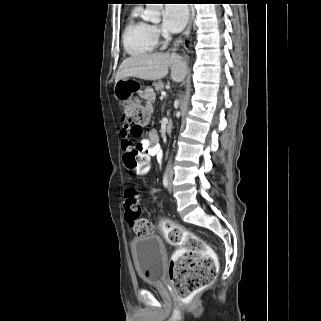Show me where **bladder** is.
Listing matches in <instances>:
<instances>
[{
	"label": "bladder",
	"mask_w": 321,
	"mask_h": 321,
	"mask_svg": "<svg viewBox=\"0 0 321 321\" xmlns=\"http://www.w3.org/2000/svg\"><path fill=\"white\" fill-rule=\"evenodd\" d=\"M130 249L139 278L147 284L161 283L166 260L162 238L154 234L135 237L130 242Z\"/></svg>",
	"instance_id": "1"
}]
</instances>
